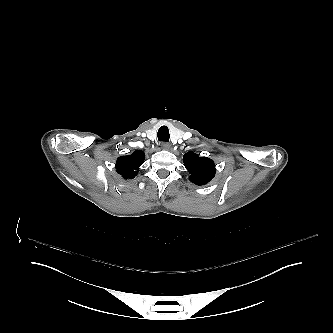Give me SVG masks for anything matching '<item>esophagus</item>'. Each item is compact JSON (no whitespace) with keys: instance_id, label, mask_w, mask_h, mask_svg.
Returning <instances> with one entry per match:
<instances>
[{"instance_id":"1","label":"esophagus","mask_w":333,"mask_h":333,"mask_svg":"<svg viewBox=\"0 0 333 333\" xmlns=\"http://www.w3.org/2000/svg\"><path fill=\"white\" fill-rule=\"evenodd\" d=\"M163 149L169 151L171 149V144L170 143H164L163 144Z\"/></svg>"}]
</instances>
